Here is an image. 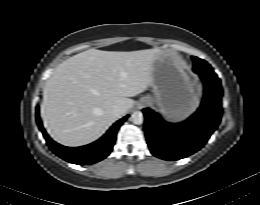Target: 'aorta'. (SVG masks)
Listing matches in <instances>:
<instances>
[{
    "mask_svg": "<svg viewBox=\"0 0 260 205\" xmlns=\"http://www.w3.org/2000/svg\"><path fill=\"white\" fill-rule=\"evenodd\" d=\"M130 120L136 124V125H140L143 123V114L140 111H135L133 112V114L130 117Z\"/></svg>",
    "mask_w": 260,
    "mask_h": 205,
    "instance_id": "obj_1",
    "label": "aorta"
}]
</instances>
